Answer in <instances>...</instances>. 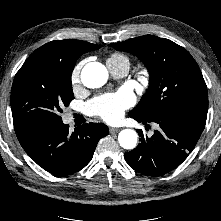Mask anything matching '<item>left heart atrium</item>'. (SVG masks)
Returning a JSON list of instances; mask_svg holds the SVG:
<instances>
[{
    "label": "left heart atrium",
    "mask_w": 221,
    "mask_h": 221,
    "mask_svg": "<svg viewBox=\"0 0 221 221\" xmlns=\"http://www.w3.org/2000/svg\"><path fill=\"white\" fill-rule=\"evenodd\" d=\"M133 103V95L122 90L95 97L88 103V109L91 114L99 116L105 121L115 122L122 117L124 111Z\"/></svg>",
    "instance_id": "39dd6f15"
}]
</instances>
